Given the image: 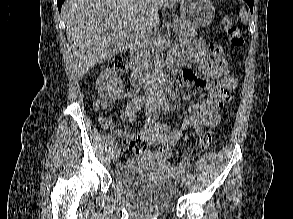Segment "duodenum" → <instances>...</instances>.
I'll return each mask as SVG.
<instances>
[{"label":"duodenum","mask_w":293,"mask_h":219,"mask_svg":"<svg viewBox=\"0 0 293 219\" xmlns=\"http://www.w3.org/2000/svg\"><path fill=\"white\" fill-rule=\"evenodd\" d=\"M141 48L142 44L140 41H136L133 45L131 57H130V68L132 70L130 82L135 88H140L143 83V62L141 59ZM170 70L172 73L176 74L180 71V65L176 60L170 62Z\"/></svg>","instance_id":"1"}]
</instances>
